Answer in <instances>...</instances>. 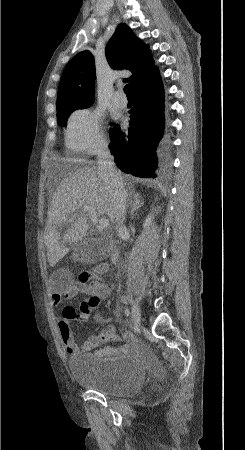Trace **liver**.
Returning a JSON list of instances; mask_svg holds the SVG:
<instances>
[{"mask_svg":"<svg viewBox=\"0 0 245 450\" xmlns=\"http://www.w3.org/2000/svg\"><path fill=\"white\" fill-rule=\"evenodd\" d=\"M85 206L93 208L97 216L106 215L112 223L116 220L107 186L98 171L89 166L68 173L52 196L43 236L52 267L68 253L66 243L85 237L88 230ZM70 218H75V222L61 237L57 227Z\"/></svg>","mask_w":245,"mask_h":450,"instance_id":"6515ba94","label":"liver"}]
</instances>
